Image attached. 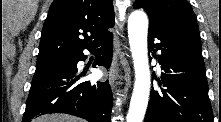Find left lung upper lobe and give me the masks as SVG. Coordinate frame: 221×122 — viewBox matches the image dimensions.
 I'll use <instances>...</instances> for the list:
<instances>
[{
    "label": "left lung upper lobe",
    "instance_id": "obj_1",
    "mask_svg": "<svg viewBox=\"0 0 221 122\" xmlns=\"http://www.w3.org/2000/svg\"><path fill=\"white\" fill-rule=\"evenodd\" d=\"M134 8H144L150 22L162 29L199 39L194 12L186 0H136Z\"/></svg>",
    "mask_w": 221,
    "mask_h": 122
}]
</instances>
